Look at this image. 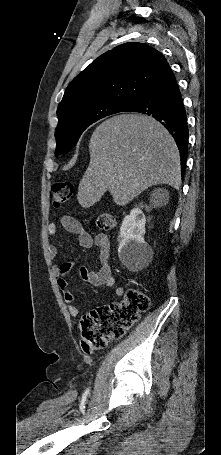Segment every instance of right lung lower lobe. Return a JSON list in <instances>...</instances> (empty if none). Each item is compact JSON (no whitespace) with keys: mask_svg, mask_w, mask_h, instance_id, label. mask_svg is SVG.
Wrapping results in <instances>:
<instances>
[{"mask_svg":"<svg viewBox=\"0 0 221 455\" xmlns=\"http://www.w3.org/2000/svg\"><path fill=\"white\" fill-rule=\"evenodd\" d=\"M123 112L151 115L170 132L180 152L181 175L184 179L189 130L181 93L168 63L143 94L128 105Z\"/></svg>","mask_w":221,"mask_h":455,"instance_id":"98d812e1","label":"right lung lower lobe"}]
</instances>
